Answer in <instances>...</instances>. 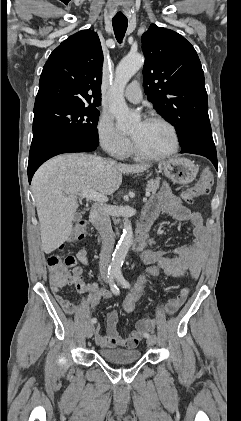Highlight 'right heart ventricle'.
<instances>
[{
    "label": "right heart ventricle",
    "instance_id": "e07e8e85",
    "mask_svg": "<svg viewBox=\"0 0 241 421\" xmlns=\"http://www.w3.org/2000/svg\"><path fill=\"white\" fill-rule=\"evenodd\" d=\"M130 152H131V150L128 148V150H127L126 154H129ZM126 154H125V155H126Z\"/></svg>",
    "mask_w": 241,
    "mask_h": 421
}]
</instances>
